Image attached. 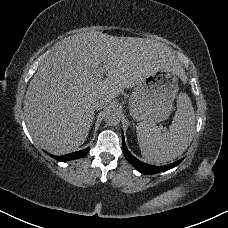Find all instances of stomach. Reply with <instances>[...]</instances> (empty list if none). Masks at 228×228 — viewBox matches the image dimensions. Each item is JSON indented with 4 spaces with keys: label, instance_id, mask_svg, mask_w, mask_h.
<instances>
[{
    "label": "stomach",
    "instance_id": "obj_1",
    "mask_svg": "<svg viewBox=\"0 0 228 228\" xmlns=\"http://www.w3.org/2000/svg\"><path fill=\"white\" fill-rule=\"evenodd\" d=\"M178 83L177 74L172 70H158L146 76L130 96L132 117L153 124L166 120L173 109Z\"/></svg>",
    "mask_w": 228,
    "mask_h": 228
}]
</instances>
